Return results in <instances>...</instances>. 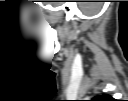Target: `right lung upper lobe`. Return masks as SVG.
Instances as JSON below:
<instances>
[{
  "instance_id": "right-lung-upper-lobe-1",
  "label": "right lung upper lobe",
  "mask_w": 128,
  "mask_h": 101,
  "mask_svg": "<svg viewBox=\"0 0 128 101\" xmlns=\"http://www.w3.org/2000/svg\"><path fill=\"white\" fill-rule=\"evenodd\" d=\"M99 101H111L112 97L108 96V95H102L98 97Z\"/></svg>"
}]
</instances>
